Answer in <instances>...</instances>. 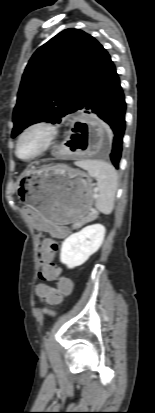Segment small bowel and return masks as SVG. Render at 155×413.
Segmentation results:
<instances>
[{"label": "small bowel", "instance_id": "1", "mask_svg": "<svg viewBox=\"0 0 155 413\" xmlns=\"http://www.w3.org/2000/svg\"><path fill=\"white\" fill-rule=\"evenodd\" d=\"M19 211L25 218H30V227H35L36 231H51V234L55 237H65L69 233L67 228L61 227L60 222H49L48 218H42L32 205H21ZM54 289L56 288L47 284H38L35 291L39 298L45 299L48 292Z\"/></svg>", "mask_w": 155, "mask_h": 413}]
</instances>
